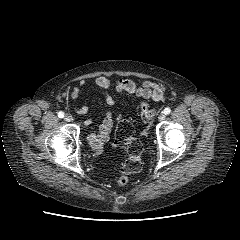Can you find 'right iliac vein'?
<instances>
[{"mask_svg": "<svg viewBox=\"0 0 240 240\" xmlns=\"http://www.w3.org/2000/svg\"><path fill=\"white\" fill-rule=\"evenodd\" d=\"M64 120L67 121V122H70V121H72V117L67 114V115L64 116Z\"/></svg>", "mask_w": 240, "mask_h": 240, "instance_id": "obj_1", "label": "right iliac vein"}]
</instances>
